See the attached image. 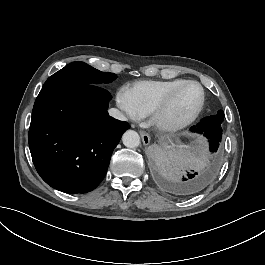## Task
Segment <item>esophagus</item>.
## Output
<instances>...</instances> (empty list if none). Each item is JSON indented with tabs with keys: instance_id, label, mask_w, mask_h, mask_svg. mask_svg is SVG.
Here are the masks:
<instances>
[{
	"instance_id": "obj_1",
	"label": "esophagus",
	"mask_w": 265,
	"mask_h": 265,
	"mask_svg": "<svg viewBox=\"0 0 265 265\" xmlns=\"http://www.w3.org/2000/svg\"><path fill=\"white\" fill-rule=\"evenodd\" d=\"M139 134H140V136L142 138L143 144L145 146L149 145L150 144V136H149V134L147 132H145V131H142V130L139 131Z\"/></svg>"
}]
</instances>
